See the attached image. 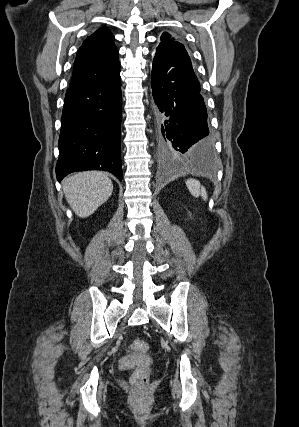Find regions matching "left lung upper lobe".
I'll use <instances>...</instances> for the list:
<instances>
[{"mask_svg": "<svg viewBox=\"0 0 299 427\" xmlns=\"http://www.w3.org/2000/svg\"><path fill=\"white\" fill-rule=\"evenodd\" d=\"M161 43L162 42H167V41H176L174 38L171 37L170 34L168 33H163V35L161 36Z\"/></svg>", "mask_w": 299, "mask_h": 427, "instance_id": "1", "label": "left lung upper lobe"}]
</instances>
